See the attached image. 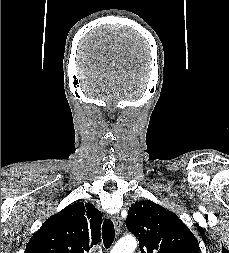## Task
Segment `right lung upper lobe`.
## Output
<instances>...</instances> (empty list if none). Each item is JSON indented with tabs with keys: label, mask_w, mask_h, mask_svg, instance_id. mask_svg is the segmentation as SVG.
Returning <instances> with one entry per match:
<instances>
[{
	"label": "right lung upper lobe",
	"mask_w": 229,
	"mask_h": 253,
	"mask_svg": "<svg viewBox=\"0 0 229 253\" xmlns=\"http://www.w3.org/2000/svg\"><path fill=\"white\" fill-rule=\"evenodd\" d=\"M101 221L93 204L69 205L42 224L25 253H87L99 241Z\"/></svg>",
	"instance_id": "obj_1"
}]
</instances>
